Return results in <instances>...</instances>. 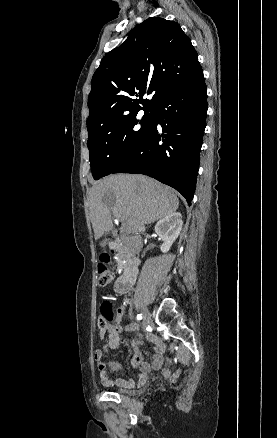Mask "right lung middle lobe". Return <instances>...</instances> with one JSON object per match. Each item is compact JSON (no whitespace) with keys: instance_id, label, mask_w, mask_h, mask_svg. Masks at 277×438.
I'll use <instances>...</instances> for the list:
<instances>
[{"instance_id":"right-lung-middle-lobe-1","label":"right lung middle lobe","mask_w":277,"mask_h":438,"mask_svg":"<svg viewBox=\"0 0 277 438\" xmlns=\"http://www.w3.org/2000/svg\"><path fill=\"white\" fill-rule=\"evenodd\" d=\"M142 110L143 117L137 116L138 110L87 128V146L94 179L113 173L149 130L151 109Z\"/></svg>"}]
</instances>
